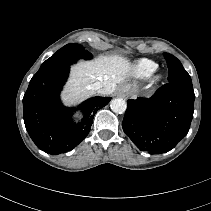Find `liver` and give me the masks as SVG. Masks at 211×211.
Returning a JSON list of instances; mask_svg holds the SVG:
<instances>
[{"label":"liver","mask_w":211,"mask_h":211,"mask_svg":"<svg viewBox=\"0 0 211 211\" xmlns=\"http://www.w3.org/2000/svg\"><path fill=\"white\" fill-rule=\"evenodd\" d=\"M132 70L131 62L120 55L100 56L93 61H83L71 67V75L61 94L66 105L76 104L92 96L91 85L103 84L102 94L114 93Z\"/></svg>","instance_id":"obj_1"}]
</instances>
